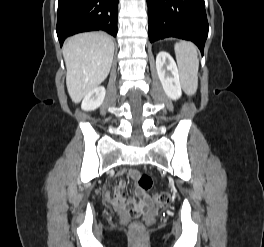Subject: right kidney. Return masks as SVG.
Here are the masks:
<instances>
[{
    "instance_id": "obj_1",
    "label": "right kidney",
    "mask_w": 264,
    "mask_h": 247,
    "mask_svg": "<svg viewBox=\"0 0 264 247\" xmlns=\"http://www.w3.org/2000/svg\"><path fill=\"white\" fill-rule=\"evenodd\" d=\"M106 90L103 86L96 87L83 99L81 108L84 111H93L100 107L104 101Z\"/></svg>"
}]
</instances>
